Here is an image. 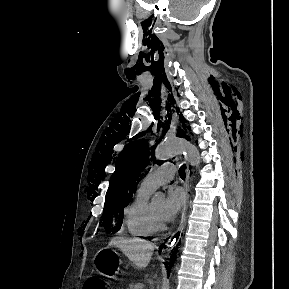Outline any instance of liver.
Listing matches in <instances>:
<instances>
[{
    "label": "liver",
    "mask_w": 289,
    "mask_h": 289,
    "mask_svg": "<svg viewBox=\"0 0 289 289\" xmlns=\"http://www.w3.org/2000/svg\"><path fill=\"white\" fill-rule=\"evenodd\" d=\"M110 246L118 247L139 268L148 266L154 247L152 244L140 239L113 238Z\"/></svg>",
    "instance_id": "1"
}]
</instances>
